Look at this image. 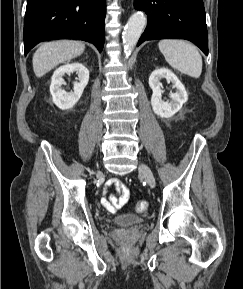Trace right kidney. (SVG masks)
I'll list each match as a JSON object with an SVG mask.
<instances>
[{
  "mask_svg": "<svg viewBox=\"0 0 243 289\" xmlns=\"http://www.w3.org/2000/svg\"><path fill=\"white\" fill-rule=\"evenodd\" d=\"M73 72L77 74L78 81L74 82L73 92H66L64 89H62V85L65 84L63 76ZM88 81L89 71L82 63H67L57 68L53 73L50 85V93L54 104L61 110L72 108L82 96Z\"/></svg>",
  "mask_w": 243,
  "mask_h": 289,
  "instance_id": "1",
  "label": "right kidney"
}]
</instances>
